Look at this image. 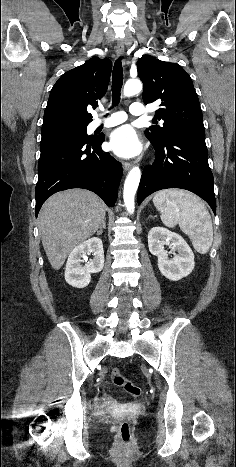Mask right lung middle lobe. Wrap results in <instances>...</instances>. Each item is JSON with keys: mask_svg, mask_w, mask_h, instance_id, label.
<instances>
[{"mask_svg": "<svg viewBox=\"0 0 236 467\" xmlns=\"http://www.w3.org/2000/svg\"><path fill=\"white\" fill-rule=\"evenodd\" d=\"M87 126L81 127H62L56 129H50L42 131L41 144L51 142L54 140L65 139V138H82L91 139L92 136H88L86 132Z\"/></svg>", "mask_w": 236, "mask_h": 467, "instance_id": "right-lung-middle-lobe-1", "label": "right lung middle lobe"}]
</instances>
